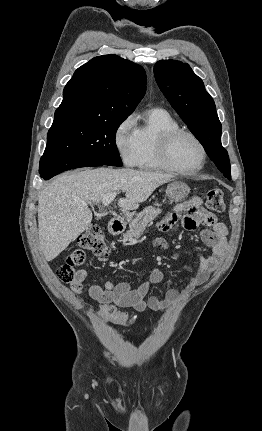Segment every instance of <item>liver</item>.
<instances>
[{
  "label": "liver",
  "instance_id": "liver-1",
  "mask_svg": "<svg viewBox=\"0 0 262 431\" xmlns=\"http://www.w3.org/2000/svg\"><path fill=\"white\" fill-rule=\"evenodd\" d=\"M173 175L134 169H84L57 176L40 192L38 234L47 261L56 258L91 224L92 212L82 202L97 204L113 192H125L119 207L135 210Z\"/></svg>",
  "mask_w": 262,
  "mask_h": 431
}]
</instances>
